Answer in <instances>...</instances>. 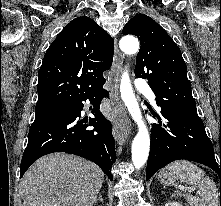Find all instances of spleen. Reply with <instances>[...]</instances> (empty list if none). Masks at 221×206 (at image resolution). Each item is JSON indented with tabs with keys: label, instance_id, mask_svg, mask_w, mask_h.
I'll return each instance as SVG.
<instances>
[{
	"label": "spleen",
	"instance_id": "1",
	"mask_svg": "<svg viewBox=\"0 0 221 206\" xmlns=\"http://www.w3.org/2000/svg\"><path fill=\"white\" fill-rule=\"evenodd\" d=\"M168 169L173 171L181 182L198 185L201 192L199 196L185 195L190 206H219V192L215 182L197 165L180 160L171 163Z\"/></svg>",
	"mask_w": 221,
	"mask_h": 206
}]
</instances>
